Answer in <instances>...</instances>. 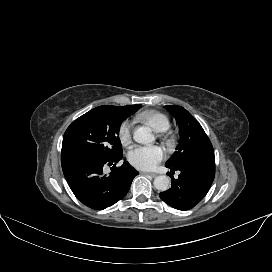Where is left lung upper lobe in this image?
<instances>
[{"mask_svg":"<svg viewBox=\"0 0 272 272\" xmlns=\"http://www.w3.org/2000/svg\"><path fill=\"white\" fill-rule=\"evenodd\" d=\"M166 109L174 115L179 125L180 142L166 167H177L183 162L213 153V146L199 122L183 107L167 105Z\"/></svg>","mask_w":272,"mask_h":272,"instance_id":"1","label":"left lung upper lobe"}]
</instances>
